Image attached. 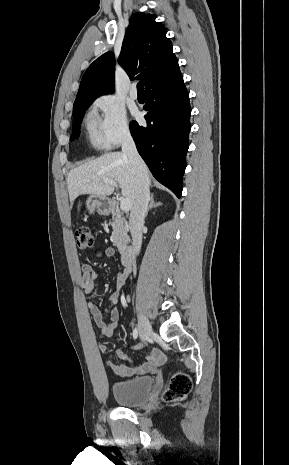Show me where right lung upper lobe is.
<instances>
[{
    "label": "right lung upper lobe",
    "instance_id": "1",
    "mask_svg": "<svg viewBox=\"0 0 289 465\" xmlns=\"http://www.w3.org/2000/svg\"><path fill=\"white\" fill-rule=\"evenodd\" d=\"M155 15L135 13L123 41L119 63L130 79L138 76L146 92L182 77L166 28L155 21ZM115 57L107 52L86 70L74 103L95 100L110 93L114 87Z\"/></svg>",
    "mask_w": 289,
    "mask_h": 465
}]
</instances>
